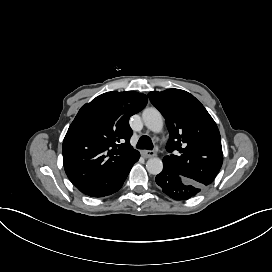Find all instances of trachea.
<instances>
[{"instance_id": "1", "label": "trachea", "mask_w": 272, "mask_h": 272, "mask_svg": "<svg viewBox=\"0 0 272 272\" xmlns=\"http://www.w3.org/2000/svg\"><path fill=\"white\" fill-rule=\"evenodd\" d=\"M138 149H145V150H152L153 149V143L150 139V137L143 135L140 137L138 143H137Z\"/></svg>"}]
</instances>
